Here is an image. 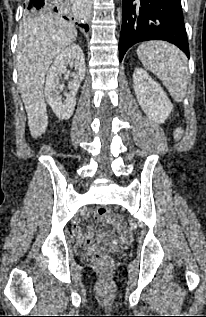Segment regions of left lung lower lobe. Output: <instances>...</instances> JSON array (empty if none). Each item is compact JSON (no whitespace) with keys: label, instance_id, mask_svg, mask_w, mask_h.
Here are the masks:
<instances>
[{"label":"left lung lower lobe","instance_id":"left-lung-lower-lobe-1","mask_svg":"<svg viewBox=\"0 0 206 317\" xmlns=\"http://www.w3.org/2000/svg\"><path fill=\"white\" fill-rule=\"evenodd\" d=\"M122 4L120 61L132 45L147 40L168 41L189 58L181 0H122Z\"/></svg>","mask_w":206,"mask_h":317}]
</instances>
